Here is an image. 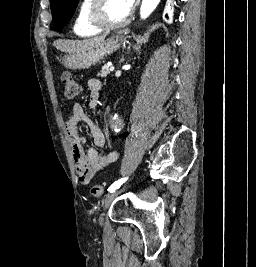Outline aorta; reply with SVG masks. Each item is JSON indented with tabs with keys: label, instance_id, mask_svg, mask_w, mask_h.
Masks as SVG:
<instances>
[{
	"label": "aorta",
	"instance_id": "obj_1",
	"mask_svg": "<svg viewBox=\"0 0 256 267\" xmlns=\"http://www.w3.org/2000/svg\"><path fill=\"white\" fill-rule=\"evenodd\" d=\"M160 0H142L140 20H146L156 10ZM108 122H123V117H108Z\"/></svg>",
	"mask_w": 256,
	"mask_h": 267
}]
</instances>
